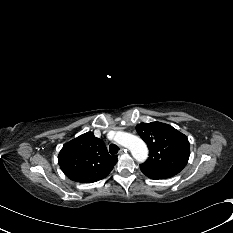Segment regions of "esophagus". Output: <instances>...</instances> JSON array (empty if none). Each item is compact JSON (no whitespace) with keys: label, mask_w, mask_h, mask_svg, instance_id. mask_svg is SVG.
<instances>
[{"label":"esophagus","mask_w":233,"mask_h":233,"mask_svg":"<svg viewBox=\"0 0 233 233\" xmlns=\"http://www.w3.org/2000/svg\"><path fill=\"white\" fill-rule=\"evenodd\" d=\"M127 152V149H125V148H121L120 150H119V154L120 155H122V154H124V153H126Z\"/></svg>","instance_id":"1"}]
</instances>
